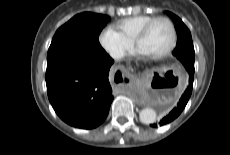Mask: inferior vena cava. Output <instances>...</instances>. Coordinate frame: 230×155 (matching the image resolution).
Instances as JSON below:
<instances>
[{
	"instance_id": "obj_1",
	"label": "inferior vena cava",
	"mask_w": 230,
	"mask_h": 155,
	"mask_svg": "<svg viewBox=\"0 0 230 155\" xmlns=\"http://www.w3.org/2000/svg\"><path fill=\"white\" fill-rule=\"evenodd\" d=\"M124 56L123 50H115L111 53V57L114 59H120Z\"/></svg>"
}]
</instances>
